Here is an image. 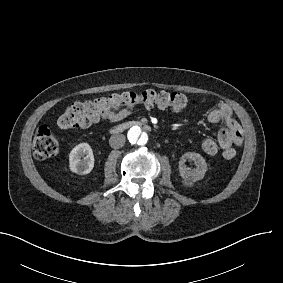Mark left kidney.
<instances>
[{"mask_svg":"<svg viewBox=\"0 0 283 283\" xmlns=\"http://www.w3.org/2000/svg\"><path fill=\"white\" fill-rule=\"evenodd\" d=\"M193 160L196 164L194 169L187 166L186 162ZM180 174L186 181L196 182L203 178L206 172L205 159L198 153H185L179 161Z\"/></svg>","mask_w":283,"mask_h":283,"instance_id":"1","label":"left kidney"}]
</instances>
